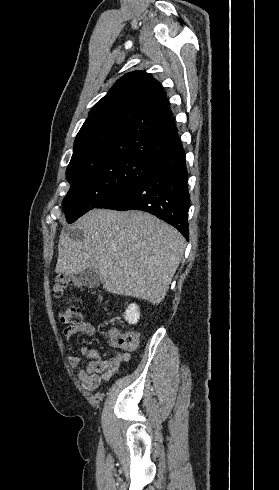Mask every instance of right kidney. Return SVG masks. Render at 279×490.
<instances>
[{"label":"right kidney","instance_id":"right-kidney-1","mask_svg":"<svg viewBox=\"0 0 279 490\" xmlns=\"http://www.w3.org/2000/svg\"><path fill=\"white\" fill-rule=\"evenodd\" d=\"M124 318L128 324H137L140 320V310L136 304H129L124 312Z\"/></svg>","mask_w":279,"mask_h":490}]
</instances>
